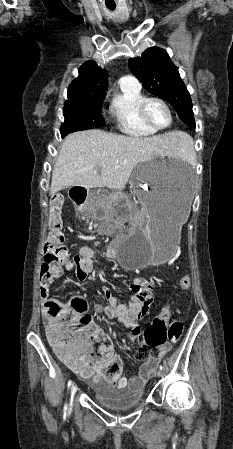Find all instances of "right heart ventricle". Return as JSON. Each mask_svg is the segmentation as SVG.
<instances>
[{"instance_id": "obj_1", "label": "right heart ventricle", "mask_w": 233, "mask_h": 449, "mask_svg": "<svg viewBox=\"0 0 233 449\" xmlns=\"http://www.w3.org/2000/svg\"><path fill=\"white\" fill-rule=\"evenodd\" d=\"M114 95L109 106V112L114 117L117 128L124 134L145 138L153 136L156 131L149 129L139 118L138 107L145 98L141 86L122 84Z\"/></svg>"}]
</instances>
